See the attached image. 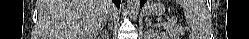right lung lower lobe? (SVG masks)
Wrapping results in <instances>:
<instances>
[{
  "instance_id": "98d812e1",
  "label": "right lung lower lobe",
  "mask_w": 249,
  "mask_h": 39,
  "mask_svg": "<svg viewBox=\"0 0 249 39\" xmlns=\"http://www.w3.org/2000/svg\"><path fill=\"white\" fill-rule=\"evenodd\" d=\"M116 6L119 8L120 7V0H113Z\"/></svg>"
}]
</instances>
